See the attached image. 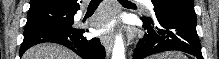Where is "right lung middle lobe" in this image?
Wrapping results in <instances>:
<instances>
[{
    "mask_svg": "<svg viewBox=\"0 0 219 59\" xmlns=\"http://www.w3.org/2000/svg\"><path fill=\"white\" fill-rule=\"evenodd\" d=\"M73 11L47 9L28 12L24 34L49 27H60L71 22Z\"/></svg>",
    "mask_w": 219,
    "mask_h": 59,
    "instance_id": "1",
    "label": "right lung middle lobe"
}]
</instances>
